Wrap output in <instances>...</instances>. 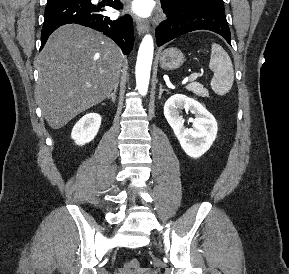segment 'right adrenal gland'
Listing matches in <instances>:
<instances>
[{
    "label": "right adrenal gland",
    "mask_w": 289,
    "mask_h": 274,
    "mask_svg": "<svg viewBox=\"0 0 289 274\" xmlns=\"http://www.w3.org/2000/svg\"><path fill=\"white\" fill-rule=\"evenodd\" d=\"M118 84H119V82H118ZM118 84H117L116 87L114 88V91L107 97V99H111V101H112L113 103L116 102V92H117Z\"/></svg>",
    "instance_id": "2a0ac1e0"
}]
</instances>
